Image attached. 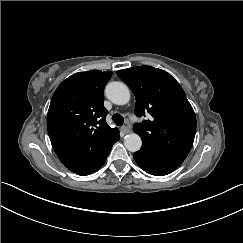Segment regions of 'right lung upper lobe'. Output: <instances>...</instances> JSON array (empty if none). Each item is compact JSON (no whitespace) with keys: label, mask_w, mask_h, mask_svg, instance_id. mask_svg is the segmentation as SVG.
I'll use <instances>...</instances> for the list:
<instances>
[{"label":"right lung upper lobe","mask_w":243,"mask_h":243,"mask_svg":"<svg viewBox=\"0 0 243 243\" xmlns=\"http://www.w3.org/2000/svg\"><path fill=\"white\" fill-rule=\"evenodd\" d=\"M112 72L90 70L65 79L56 89L47 115L52 147L72 172L92 167L120 139L107 125L104 87Z\"/></svg>","instance_id":"right-lung-upper-lobe-1"}]
</instances>
